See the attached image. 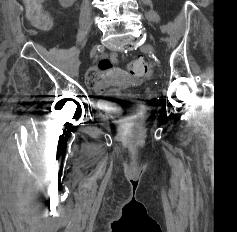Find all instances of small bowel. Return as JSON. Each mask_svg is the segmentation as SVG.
I'll list each match as a JSON object with an SVG mask.
<instances>
[{
    "mask_svg": "<svg viewBox=\"0 0 237 232\" xmlns=\"http://www.w3.org/2000/svg\"><path fill=\"white\" fill-rule=\"evenodd\" d=\"M115 54L111 55V60L115 61ZM86 82L97 93H103L110 86L107 79H102L96 68H91L86 74Z\"/></svg>",
    "mask_w": 237,
    "mask_h": 232,
    "instance_id": "obj_1",
    "label": "small bowel"
}]
</instances>
